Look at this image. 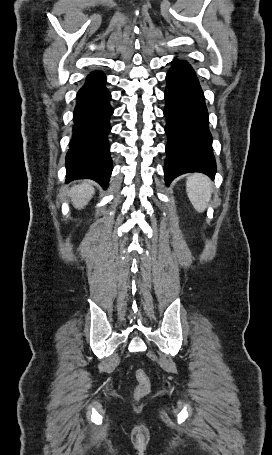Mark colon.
Listing matches in <instances>:
<instances>
[{"instance_id": "obj_1", "label": "colon", "mask_w": 272, "mask_h": 455, "mask_svg": "<svg viewBox=\"0 0 272 455\" xmlns=\"http://www.w3.org/2000/svg\"><path fill=\"white\" fill-rule=\"evenodd\" d=\"M135 376L138 382L135 389V397L142 398L146 396L150 391V381L147 374L142 369H137Z\"/></svg>"}]
</instances>
